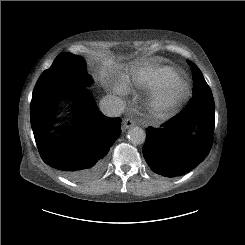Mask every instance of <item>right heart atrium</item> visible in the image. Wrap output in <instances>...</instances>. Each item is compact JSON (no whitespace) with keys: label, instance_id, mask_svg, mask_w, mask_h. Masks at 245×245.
Returning <instances> with one entry per match:
<instances>
[{"label":"right heart atrium","instance_id":"right-heart-atrium-1","mask_svg":"<svg viewBox=\"0 0 245 245\" xmlns=\"http://www.w3.org/2000/svg\"><path fill=\"white\" fill-rule=\"evenodd\" d=\"M110 89L113 94L120 96L128 92L126 81L122 76H116Z\"/></svg>","mask_w":245,"mask_h":245}]
</instances>
